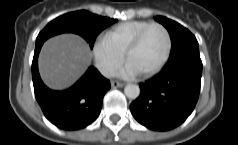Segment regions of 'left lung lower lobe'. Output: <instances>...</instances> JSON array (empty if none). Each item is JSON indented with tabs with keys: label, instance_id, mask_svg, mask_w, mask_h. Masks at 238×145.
<instances>
[{
	"label": "left lung lower lobe",
	"instance_id": "left-lung-lower-lobe-1",
	"mask_svg": "<svg viewBox=\"0 0 238 145\" xmlns=\"http://www.w3.org/2000/svg\"><path fill=\"white\" fill-rule=\"evenodd\" d=\"M202 76L199 52L167 63L140 84V95L130 105L133 117L148 129L168 131L182 124L198 101Z\"/></svg>",
	"mask_w": 238,
	"mask_h": 145
}]
</instances>
